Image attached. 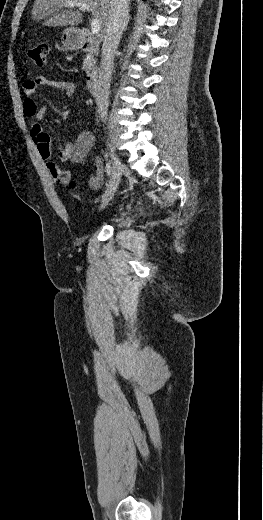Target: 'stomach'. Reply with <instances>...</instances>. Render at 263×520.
<instances>
[{"instance_id":"obj_1","label":"stomach","mask_w":263,"mask_h":520,"mask_svg":"<svg viewBox=\"0 0 263 520\" xmlns=\"http://www.w3.org/2000/svg\"><path fill=\"white\" fill-rule=\"evenodd\" d=\"M61 42L68 50H78L82 47L81 31L76 27H68L62 31Z\"/></svg>"}]
</instances>
